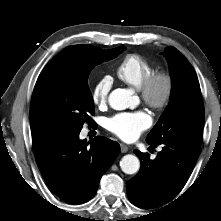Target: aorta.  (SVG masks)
<instances>
[{
    "instance_id": "762f6f07",
    "label": "aorta",
    "mask_w": 221,
    "mask_h": 221,
    "mask_svg": "<svg viewBox=\"0 0 221 221\" xmlns=\"http://www.w3.org/2000/svg\"><path fill=\"white\" fill-rule=\"evenodd\" d=\"M133 102V92L130 89H115L109 95V105L115 110L129 108ZM120 167L126 174H134L140 168L138 157L132 154L125 155L120 161Z\"/></svg>"
}]
</instances>
